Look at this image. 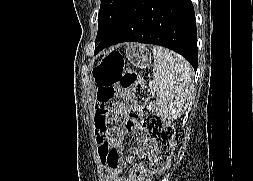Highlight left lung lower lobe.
<instances>
[{"label": "left lung lower lobe", "instance_id": "0a47b994", "mask_svg": "<svg viewBox=\"0 0 253 181\" xmlns=\"http://www.w3.org/2000/svg\"><path fill=\"white\" fill-rule=\"evenodd\" d=\"M96 52L134 41L167 47L197 69V31L191 0H131Z\"/></svg>", "mask_w": 253, "mask_h": 181}]
</instances>
